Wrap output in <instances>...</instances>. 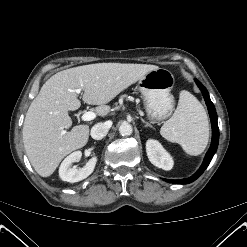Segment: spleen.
<instances>
[{"mask_svg":"<svg viewBox=\"0 0 247 247\" xmlns=\"http://www.w3.org/2000/svg\"><path fill=\"white\" fill-rule=\"evenodd\" d=\"M170 142L178 143L189 155H200L209 139L207 114L201 103L188 91H181L173 116L160 130Z\"/></svg>","mask_w":247,"mask_h":247,"instance_id":"spleen-1","label":"spleen"}]
</instances>
